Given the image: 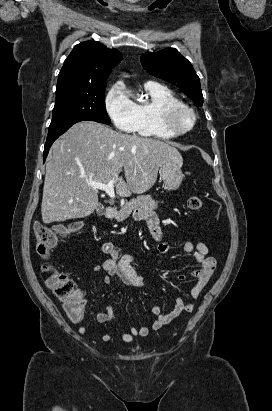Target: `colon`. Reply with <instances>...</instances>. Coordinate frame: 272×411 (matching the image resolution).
Returning a JSON list of instances; mask_svg holds the SVG:
<instances>
[{
    "instance_id": "obj_1",
    "label": "colon",
    "mask_w": 272,
    "mask_h": 411,
    "mask_svg": "<svg viewBox=\"0 0 272 411\" xmlns=\"http://www.w3.org/2000/svg\"><path fill=\"white\" fill-rule=\"evenodd\" d=\"M188 207L193 211L200 210L203 207V201L198 196H192L188 199ZM80 227L81 224L78 222L53 227H49L41 222H36L33 227L36 250L39 256L44 260L43 271L46 274V284L53 291L54 295L63 302L65 311L74 321H79L83 317V299L81 292L68 274L58 270L48 260V256L50 250L61 238L77 231Z\"/></svg>"
}]
</instances>
